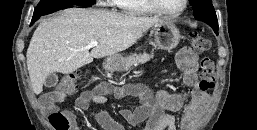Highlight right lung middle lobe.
Segmentation results:
<instances>
[{
	"mask_svg": "<svg viewBox=\"0 0 257 130\" xmlns=\"http://www.w3.org/2000/svg\"><path fill=\"white\" fill-rule=\"evenodd\" d=\"M94 0H41L35 8L32 20L36 21L39 16L57 11L70 5L91 7Z\"/></svg>",
	"mask_w": 257,
	"mask_h": 130,
	"instance_id": "obj_1",
	"label": "right lung middle lobe"
}]
</instances>
